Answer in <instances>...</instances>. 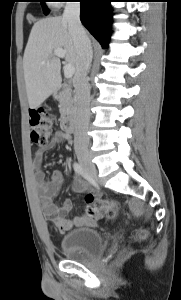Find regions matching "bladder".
Segmentation results:
<instances>
[{
	"label": "bladder",
	"mask_w": 181,
	"mask_h": 300,
	"mask_svg": "<svg viewBox=\"0 0 181 300\" xmlns=\"http://www.w3.org/2000/svg\"><path fill=\"white\" fill-rule=\"evenodd\" d=\"M61 249L68 257L88 258L102 253L104 240L94 228H76L61 238Z\"/></svg>",
	"instance_id": "obj_1"
}]
</instances>
